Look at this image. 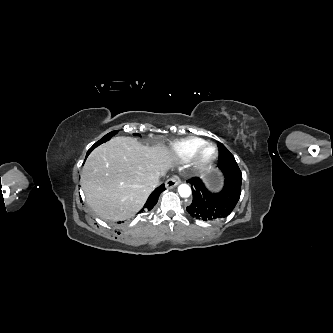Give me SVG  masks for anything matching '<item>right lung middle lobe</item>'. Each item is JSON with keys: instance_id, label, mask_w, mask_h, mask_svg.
Listing matches in <instances>:
<instances>
[{"instance_id": "1", "label": "right lung middle lobe", "mask_w": 333, "mask_h": 333, "mask_svg": "<svg viewBox=\"0 0 333 333\" xmlns=\"http://www.w3.org/2000/svg\"><path fill=\"white\" fill-rule=\"evenodd\" d=\"M118 131H112L110 133H108L107 135H105L101 140H99L96 144V147L100 144H102L103 142L108 141L112 136H114ZM134 135H138V134H134Z\"/></svg>"}]
</instances>
